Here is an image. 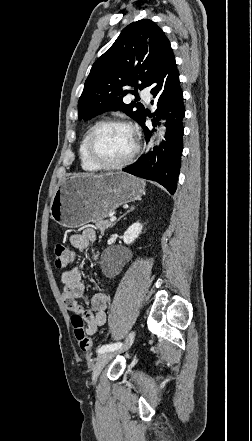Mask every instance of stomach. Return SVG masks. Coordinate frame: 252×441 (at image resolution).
<instances>
[{"label": "stomach", "mask_w": 252, "mask_h": 441, "mask_svg": "<svg viewBox=\"0 0 252 441\" xmlns=\"http://www.w3.org/2000/svg\"><path fill=\"white\" fill-rule=\"evenodd\" d=\"M145 182L122 172L76 175L64 180L50 204L51 218L66 228L104 219L121 204L140 199Z\"/></svg>", "instance_id": "1"}]
</instances>
